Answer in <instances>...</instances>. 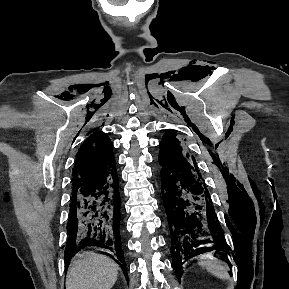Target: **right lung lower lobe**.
Here are the masks:
<instances>
[{"instance_id":"98d812e1","label":"right lung lower lobe","mask_w":289,"mask_h":289,"mask_svg":"<svg viewBox=\"0 0 289 289\" xmlns=\"http://www.w3.org/2000/svg\"><path fill=\"white\" fill-rule=\"evenodd\" d=\"M65 267L79 249L97 247L106 250L124 271L127 281L121 235L119 182L116 170L72 190Z\"/></svg>"}]
</instances>
